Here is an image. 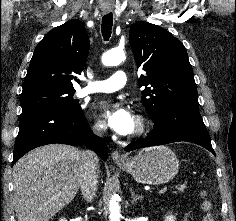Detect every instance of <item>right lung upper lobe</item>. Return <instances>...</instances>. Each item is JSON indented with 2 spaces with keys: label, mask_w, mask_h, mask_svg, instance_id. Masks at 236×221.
Returning <instances> with one entry per match:
<instances>
[{
  "label": "right lung upper lobe",
  "mask_w": 236,
  "mask_h": 221,
  "mask_svg": "<svg viewBox=\"0 0 236 221\" xmlns=\"http://www.w3.org/2000/svg\"><path fill=\"white\" fill-rule=\"evenodd\" d=\"M89 48L84 24L77 19L49 31L34 50L22 94L45 88L74 90L72 82L81 74Z\"/></svg>",
  "instance_id": "cb5924a9"
}]
</instances>
